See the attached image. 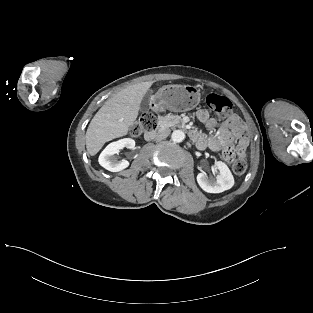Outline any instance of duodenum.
Segmentation results:
<instances>
[{
	"mask_svg": "<svg viewBox=\"0 0 313 313\" xmlns=\"http://www.w3.org/2000/svg\"><path fill=\"white\" fill-rule=\"evenodd\" d=\"M161 131H162V128H157V129H155V130H153V131H150V132H147L146 134H145V138L147 139V140H152V139H155L160 133H161ZM190 137L193 139V138H195V132L194 131H191L190 132Z\"/></svg>",
	"mask_w": 313,
	"mask_h": 313,
	"instance_id": "1",
	"label": "duodenum"
}]
</instances>
